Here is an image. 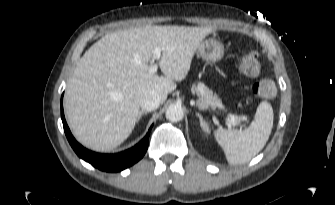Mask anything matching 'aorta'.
<instances>
[{
  "label": "aorta",
  "instance_id": "1",
  "mask_svg": "<svg viewBox=\"0 0 335 205\" xmlns=\"http://www.w3.org/2000/svg\"><path fill=\"white\" fill-rule=\"evenodd\" d=\"M183 116L184 111L179 105H170L166 110V118L171 122H179Z\"/></svg>",
  "mask_w": 335,
  "mask_h": 205
}]
</instances>
